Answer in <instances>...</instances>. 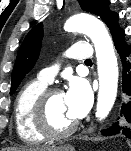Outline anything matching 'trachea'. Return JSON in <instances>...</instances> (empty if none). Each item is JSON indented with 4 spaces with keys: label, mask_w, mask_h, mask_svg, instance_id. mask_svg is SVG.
Instances as JSON below:
<instances>
[{
    "label": "trachea",
    "mask_w": 131,
    "mask_h": 151,
    "mask_svg": "<svg viewBox=\"0 0 131 151\" xmlns=\"http://www.w3.org/2000/svg\"><path fill=\"white\" fill-rule=\"evenodd\" d=\"M85 63H92V61H91L90 59H87V60L85 61Z\"/></svg>",
    "instance_id": "obj_1"
}]
</instances>
